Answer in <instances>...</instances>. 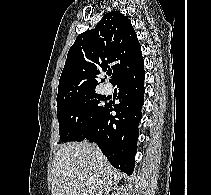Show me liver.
<instances>
[{
	"mask_svg": "<svg viewBox=\"0 0 211 195\" xmlns=\"http://www.w3.org/2000/svg\"><path fill=\"white\" fill-rule=\"evenodd\" d=\"M87 141L60 145L53 162L52 195H97L100 188L117 187L120 172ZM103 183V184H101Z\"/></svg>",
	"mask_w": 211,
	"mask_h": 195,
	"instance_id": "liver-1",
	"label": "liver"
}]
</instances>
